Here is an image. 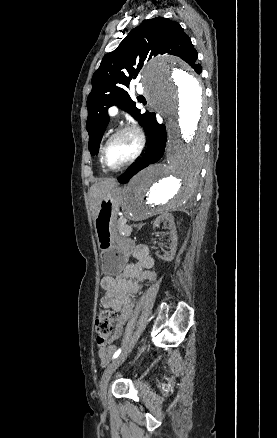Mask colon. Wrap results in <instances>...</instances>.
<instances>
[{"instance_id": "1", "label": "colon", "mask_w": 277, "mask_h": 438, "mask_svg": "<svg viewBox=\"0 0 277 438\" xmlns=\"http://www.w3.org/2000/svg\"><path fill=\"white\" fill-rule=\"evenodd\" d=\"M115 313L111 310H103L100 317L95 320V333L98 344L104 345L110 339L114 331Z\"/></svg>"}]
</instances>
